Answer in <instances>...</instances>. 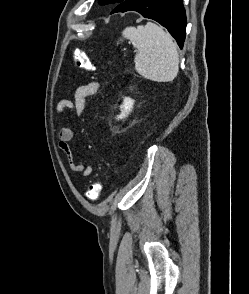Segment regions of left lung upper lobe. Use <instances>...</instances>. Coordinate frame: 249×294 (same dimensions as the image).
<instances>
[{
    "label": "left lung upper lobe",
    "mask_w": 249,
    "mask_h": 294,
    "mask_svg": "<svg viewBox=\"0 0 249 294\" xmlns=\"http://www.w3.org/2000/svg\"><path fill=\"white\" fill-rule=\"evenodd\" d=\"M124 0H99V4L101 5H105V4H109V3H121Z\"/></svg>",
    "instance_id": "1"
}]
</instances>
